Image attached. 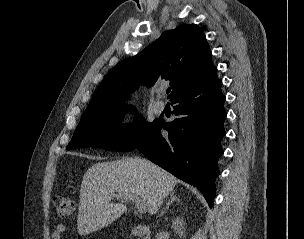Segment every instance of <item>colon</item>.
Segmentation results:
<instances>
[{"instance_id": "1", "label": "colon", "mask_w": 304, "mask_h": 239, "mask_svg": "<svg viewBox=\"0 0 304 239\" xmlns=\"http://www.w3.org/2000/svg\"><path fill=\"white\" fill-rule=\"evenodd\" d=\"M54 206L62 218L70 217L76 210V202L70 197H55Z\"/></svg>"}]
</instances>
